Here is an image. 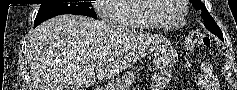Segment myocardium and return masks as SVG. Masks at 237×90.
<instances>
[{
    "label": "myocardium",
    "instance_id": "myocardium-1",
    "mask_svg": "<svg viewBox=\"0 0 237 90\" xmlns=\"http://www.w3.org/2000/svg\"><path fill=\"white\" fill-rule=\"evenodd\" d=\"M189 0H177V3L181 9V16L178 22L174 25H164L159 23L155 18L152 16L154 9H158V5H156V0H142V3H138V7L142 9V18H146V20L154 27L165 30V31H172L178 29L185 20L186 13H187V6L185 3H188Z\"/></svg>",
    "mask_w": 237,
    "mask_h": 90
}]
</instances>
